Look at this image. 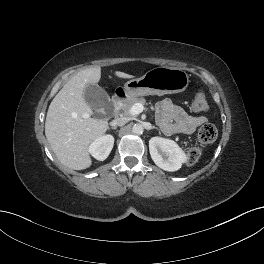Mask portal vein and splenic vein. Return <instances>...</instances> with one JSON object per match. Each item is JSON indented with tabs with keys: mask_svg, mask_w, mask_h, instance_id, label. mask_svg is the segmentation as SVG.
<instances>
[{
	"mask_svg": "<svg viewBox=\"0 0 264 264\" xmlns=\"http://www.w3.org/2000/svg\"><path fill=\"white\" fill-rule=\"evenodd\" d=\"M144 110H147V108L144 107L141 103H136L130 108L129 112L131 115H138Z\"/></svg>",
	"mask_w": 264,
	"mask_h": 264,
	"instance_id": "18ae733b",
	"label": "portal vein and splenic vein"
}]
</instances>
